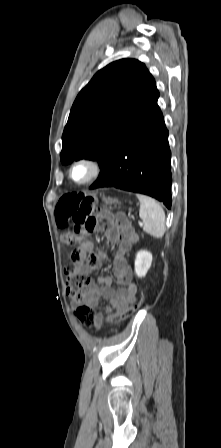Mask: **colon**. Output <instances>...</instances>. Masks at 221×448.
I'll list each match as a JSON object with an SVG mask.
<instances>
[{"mask_svg": "<svg viewBox=\"0 0 221 448\" xmlns=\"http://www.w3.org/2000/svg\"><path fill=\"white\" fill-rule=\"evenodd\" d=\"M96 206V198L93 195H85L80 192H73L62 196L56 206V220L60 227L71 224L73 233L79 237H85L92 233L96 227L97 221L93 216ZM123 223L122 219H116ZM64 277L67 288V294L75 304V315L78 320L85 325L95 324V315L91 308L82 303L83 292L89 283V277L80 271L75 264H67L64 267ZM144 299L143 292L138 299L133 302L126 314L135 312L142 304ZM116 317L111 315L107 318L108 322H113Z\"/></svg>", "mask_w": 221, "mask_h": 448, "instance_id": "1", "label": "colon"}]
</instances>
